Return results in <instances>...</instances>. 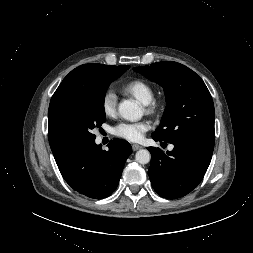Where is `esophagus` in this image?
I'll return each mask as SVG.
<instances>
[{"instance_id":"obj_1","label":"esophagus","mask_w":253,"mask_h":253,"mask_svg":"<svg viewBox=\"0 0 253 253\" xmlns=\"http://www.w3.org/2000/svg\"><path fill=\"white\" fill-rule=\"evenodd\" d=\"M141 148H142V146H140V145H138V144H133V145H132L133 151H137V150H139V149H141Z\"/></svg>"}]
</instances>
